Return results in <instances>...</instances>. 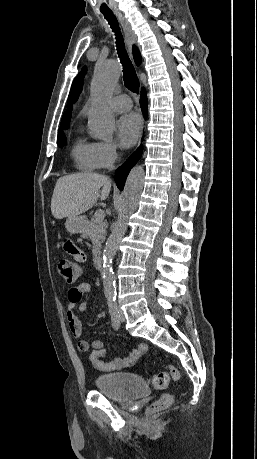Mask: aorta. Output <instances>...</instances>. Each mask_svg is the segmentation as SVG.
Wrapping results in <instances>:
<instances>
[{
	"mask_svg": "<svg viewBox=\"0 0 257 459\" xmlns=\"http://www.w3.org/2000/svg\"><path fill=\"white\" fill-rule=\"evenodd\" d=\"M120 72V67L116 61L99 62L91 82L93 104L88 114V126L90 134L103 141H111L113 138L115 119L107 109L106 103L114 93ZM143 184L144 169L142 166H135L126 179L118 218L113 225L103 252V288L108 299H112L116 294L115 275L112 268L113 259L126 233L129 217L138 206Z\"/></svg>",
	"mask_w": 257,
	"mask_h": 459,
	"instance_id": "aorta-1",
	"label": "aorta"
}]
</instances>
